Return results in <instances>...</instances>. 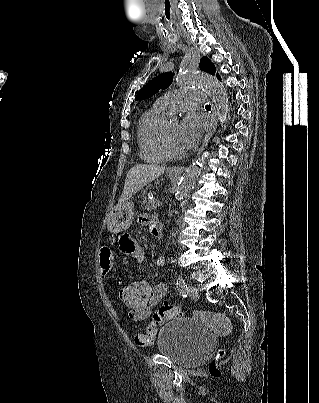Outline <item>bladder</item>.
<instances>
[{
    "instance_id": "obj_1",
    "label": "bladder",
    "mask_w": 319,
    "mask_h": 403,
    "mask_svg": "<svg viewBox=\"0 0 319 403\" xmlns=\"http://www.w3.org/2000/svg\"><path fill=\"white\" fill-rule=\"evenodd\" d=\"M213 345L212 333L191 318L167 322L159 329L156 338L158 352L183 367L202 362Z\"/></svg>"
}]
</instances>
